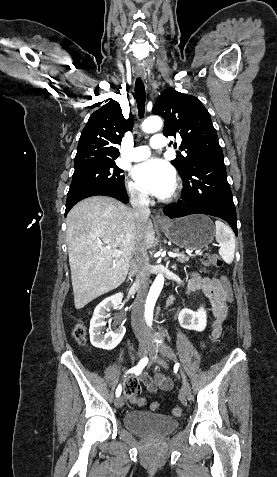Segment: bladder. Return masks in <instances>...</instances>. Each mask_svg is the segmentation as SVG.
Returning <instances> with one entry per match:
<instances>
[{
    "label": "bladder",
    "mask_w": 277,
    "mask_h": 477,
    "mask_svg": "<svg viewBox=\"0 0 277 477\" xmlns=\"http://www.w3.org/2000/svg\"><path fill=\"white\" fill-rule=\"evenodd\" d=\"M124 424L141 436L160 437L176 430L179 421L158 413L131 411L125 415Z\"/></svg>",
    "instance_id": "obj_1"
}]
</instances>
